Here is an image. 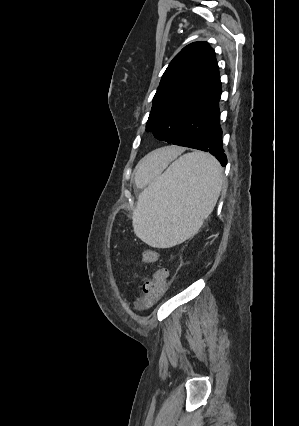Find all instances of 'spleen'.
<instances>
[{
	"instance_id": "3e777b00",
	"label": "spleen",
	"mask_w": 299,
	"mask_h": 426,
	"mask_svg": "<svg viewBox=\"0 0 299 426\" xmlns=\"http://www.w3.org/2000/svg\"><path fill=\"white\" fill-rule=\"evenodd\" d=\"M223 182L219 162L192 152L154 174L138 197L134 233L154 248H170L193 236L215 207Z\"/></svg>"
}]
</instances>
